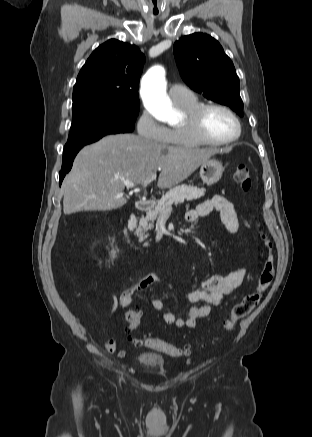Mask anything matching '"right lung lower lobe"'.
I'll list each match as a JSON object with an SVG mask.
<instances>
[{"label": "right lung lower lobe", "mask_w": 312, "mask_h": 437, "mask_svg": "<svg viewBox=\"0 0 312 437\" xmlns=\"http://www.w3.org/2000/svg\"><path fill=\"white\" fill-rule=\"evenodd\" d=\"M79 150L64 154V156L62 158V169L59 173V184L60 185H61L66 173L71 169L72 164H73V160H74V158Z\"/></svg>", "instance_id": "1"}]
</instances>
